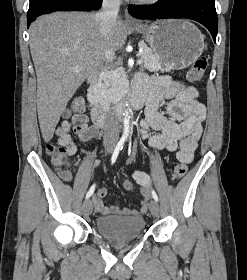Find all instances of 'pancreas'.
<instances>
[{"instance_id": "cf45deb5", "label": "pancreas", "mask_w": 247, "mask_h": 280, "mask_svg": "<svg viewBox=\"0 0 247 280\" xmlns=\"http://www.w3.org/2000/svg\"><path fill=\"white\" fill-rule=\"evenodd\" d=\"M139 47L143 49V52L139 55V57L142 60V66L144 68L151 72L170 71L169 69L163 67L151 49L144 42L139 43ZM124 79L125 75L120 68L106 72L96 85V97L98 101L101 103H107L118 98L122 90Z\"/></svg>"}]
</instances>
